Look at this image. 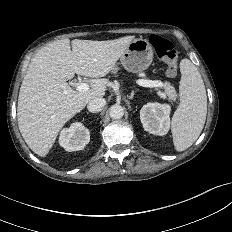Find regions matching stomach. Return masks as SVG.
Segmentation results:
<instances>
[{"label":"stomach","instance_id":"obj_1","mask_svg":"<svg viewBox=\"0 0 232 232\" xmlns=\"http://www.w3.org/2000/svg\"><path fill=\"white\" fill-rule=\"evenodd\" d=\"M153 60L152 46L148 40L134 39L120 57L121 65L129 72H140L149 67ZM118 71V67L112 69L113 73Z\"/></svg>","mask_w":232,"mask_h":232}]
</instances>
